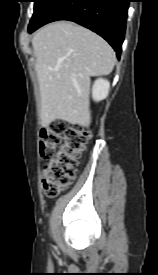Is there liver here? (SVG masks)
Instances as JSON below:
<instances>
[{
    "instance_id": "6515ba94",
    "label": "liver",
    "mask_w": 158,
    "mask_h": 275,
    "mask_svg": "<svg viewBox=\"0 0 158 275\" xmlns=\"http://www.w3.org/2000/svg\"><path fill=\"white\" fill-rule=\"evenodd\" d=\"M32 47L42 126L61 119L89 127L90 77L111 73L116 63L111 46L82 26L59 21L39 29L32 38Z\"/></svg>"
}]
</instances>
